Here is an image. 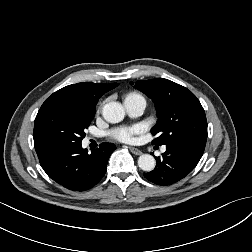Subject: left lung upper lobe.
Returning <instances> with one entry per match:
<instances>
[{
  "mask_svg": "<svg viewBox=\"0 0 252 252\" xmlns=\"http://www.w3.org/2000/svg\"><path fill=\"white\" fill-rule=\"evenodd\" d=\"M134 87L149 96L157 108L158 122L151 130L157 137L152 144L167 145L185 140L206 144L205 112L190 90L163 78L139 80Z\"/></svg>",
  "mask_w": 252,
  "mask_h": 252,
  "instance_id": "left-lung-upper-lobe-1",
  "label": "left lung upper lobe"
}]
</instances>
